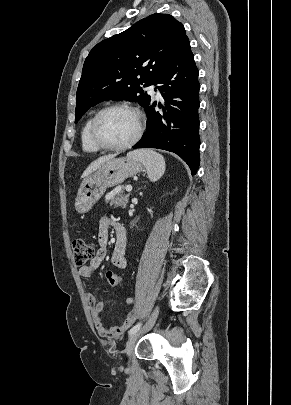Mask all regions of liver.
<instances>
[{"instance_id": "6515ba94", "label": "liver", "mask_w": 291, "mask_h": 405, "mask_svg": "<svg viewBox=\"0 0 291 405\" xmlns=\"http://www.w3.org/2000/svg\"><path fill=\"white\" fill-rule=\"evenodd\" d=\"M114 158V155L103 156L92 162L88 168L82 174V178L89 176L91 173L95 172L97 169L101 167L103 163L109 161Z\"/></svg>"}]
</instances>
